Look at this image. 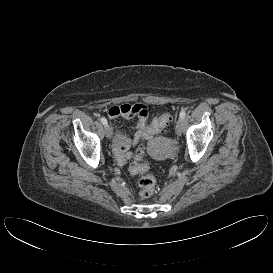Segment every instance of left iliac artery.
Instances as JSON below:
<instances>
[{
  "label": "left iliac artery",
  "instance_id": "1",
  "mask_svg": "<svg viewBox=\"0 0 273 273\" xmlns=\"http://www.w3.org/2000/svg\"><path fill=\"white\" fill-rule=\"evenodd\" d=\"M180 118L181 119H184L185 118V116H186V112H185V110H182L181 112H180Z\"/></svg>",
  "mask_w": 273,
  "mask_h": 273
}]
</instances>
